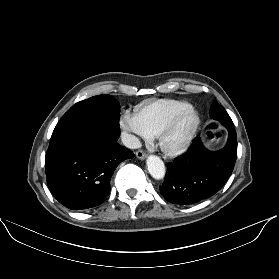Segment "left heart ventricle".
<instances>
[{
	"instance_id": "left-heart-ventricle-1",
	"label": "left heart ventricle",
	"mask_w": 279,
	"mask_h": 279,
	"mask_svg": "<svg viewBox=\"0 0 279 279\" xmlns=\"http://www.w3.org/2000/svg\"><path fill=\"white\" fill-rule=\"evenodd\" d=\"M194 117L189 114L185 116L175 127L172 134L167 139V144L174 146L179 144L184 136L186 135L188 129L193 124Z\"/></svg>"
}]
</instances>
